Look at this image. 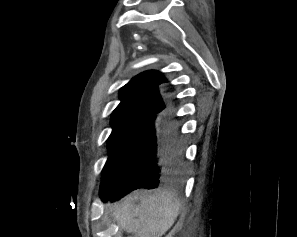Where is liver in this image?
<instances>
[{
  "label": "liver",
  "instance_id": "obj_1",
  "mask_svg": "<svg viewBox=\"0 0 297 237\" xmlns=\"http://www.w3.org/2000/svg\"><path fill=\"white\" fill-rule=\"evenodd\" d=\"M179 210L180 202L166 190L136 191L111 205L121 228L137 237H162L174 224Z\"/></svg>",
  "mask_w": 297,
  "mask_h": 237
}]
</instances>
